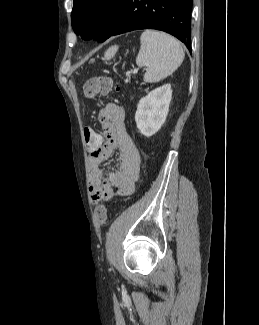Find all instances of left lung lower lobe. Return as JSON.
I'll return each mask as SVG.
<instances>
[{
	"label": "left lung lower lobe",
	"mask_w": 259,
	"mask_h": 325,
	"mask_svg": "<svg viewBox=\"0 0 259 325\" xmlns=\"http://www.w3.org/2000/svg\"><path fill=\"white\" fill-rule=\"evenodd\" d=\"M192 0H124L107 38L138 29L170 33L191 48Z\"/></svg>",
	"instance_id": "left-lung-lower-lobe-1"
}]
</instances>
